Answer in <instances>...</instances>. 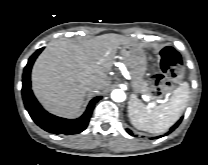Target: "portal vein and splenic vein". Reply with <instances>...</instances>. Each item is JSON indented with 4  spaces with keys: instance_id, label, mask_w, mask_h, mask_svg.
Listing matches in <instances>:
<instances>
[{
    "instance_id": "18ae733b",
    "label": "portal vein and splenic vein",
    "mask_w": 208,
    "mask_h": 165,
    "mask_svg": "<svg viewBox=\"0 0 208 165\" xmlns=\"http://www.w3.org/2000/svg\"><path fill=\"white\" fill-rule=\"evenodd\" d=\"M143 97H144L145 100H149L148 96L144 95ZM150 105L153 106V103H150Z\"/></svg>"
}]
</instances>
